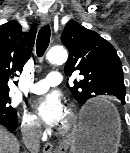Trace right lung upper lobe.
Wrapping results in <instances>:
<instances>
[{
    "label": "right lung upper lobe",
    "mask_w": 130,
    "mask_h": 153,
    "mask_svg": "<svg viewBox=\"0 0 130 153\" xmlns=\"http://www.w3.org/2000/svg\"><path fill=\"white\" fill-rule=\"evenodd\" d=\"M36 25L29 32H22L17 21L0 26V92H8V79L22 72L33 49Z\"/></svg>",
    "instance_id": "cb5924a9"
}]
</instances>
